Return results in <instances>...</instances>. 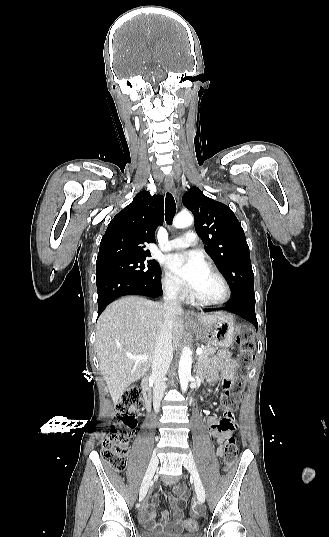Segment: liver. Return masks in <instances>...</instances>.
Masks as SVG:
<instances>
[{
    "mask_svg": "<svg viewBox=\"0 0 329 537\" xmlns=\"http://www.w3.org/2000/svg\"><path fill=\"white\" fill-rule=\"evenodd\" d=\"M164 306L142 297L127 296L111 303L100 315L96 329V351L100 370L111 398L117 403L125 389L150 369L155 345L164 322ZM224 315H198L206 328ZM183 332L182 313L174 317L172 345L177 348ZM145 355L135 362L126 354Z\"/></svg>",
    "mask_w": 329,
    "mask_h": 537,
    "instance_id": "liver-1",
    "label": "liver"
}]
</instances>
